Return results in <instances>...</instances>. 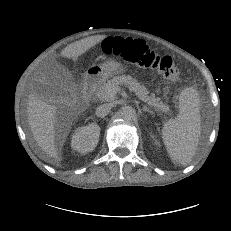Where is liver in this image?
I'll return each mask as SVG.
<instances>
[{"label":"liver","instance_id":"obj_1","mask_svg":"<svg viewBox=\"0 0 231 231\" xmlns=\"http://www.w3.org/2000/svg\"><path fill=\"white\" fill-rule=\"evenodd\" d=\"M105 38V35H96L76 41L66 46L60 53V56L75 61L79 56L99 44ZM57 109L58 106L55 103L45 102L34 93L29 95L27 116L32 135L43 153L58 162L61 158L55 145Z\"/></svg>","mask_w":231,"mask_h":231}]
</instances>
